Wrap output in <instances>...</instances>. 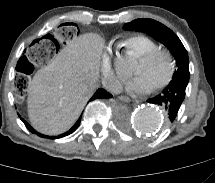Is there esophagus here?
Returning a JSON list of instances; mask_svg holds the SVG:
<instances>
[{
  "label": "esophagus",
  "mask_w": 215,
  "mask_h": 183,
  "mask_svg": "<svg viewBox=\"0 0 215 183\" xmlns=\"http://www.w3.org/2000/svg\"><path fill=\"white\" fill-rule=\"evenodd\" d=\"M118 99L123 101V102H130L131 101V99L129 97L123 96V95L119 96Z\"/></svg>",
  "instance_id": "1"
}]
</instances>
